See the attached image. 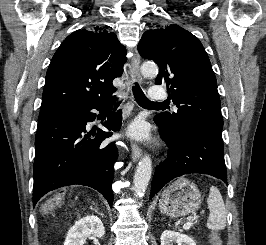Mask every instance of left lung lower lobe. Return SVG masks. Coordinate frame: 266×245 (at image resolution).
Returning a JSON list of instances; mask_svg holds the SVG:
<instances>
[{
    "label": "left lung lower lobe",
    "instance_id": "left-lung-lower-lobe-1",
    "mask_svg": "<svg viewBox=\"0 0 266 245\" xmlns=\"http://www.w3.org/2000/svg\"><path fill=\"white\" fill-rule=\"evenodd\" d=\"M154 121L169 150L166 160L156 168L151 198L170 180L185 174H208L227 184L221 131L189 123L174 133L156 118Z\"/></svg>",
    "mask_w": 266,
    "mask_h": 245
}]
</instances>
